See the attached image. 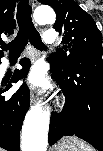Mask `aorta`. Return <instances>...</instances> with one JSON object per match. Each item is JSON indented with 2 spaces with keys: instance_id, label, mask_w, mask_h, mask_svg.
<instances>
[{
  "instance_id": "obj_1",
  "label": "aorta",
  "mask_w": 103,
  "mask_h": 151,
  "mask_svg": "<svg viewBox=\"0 0 103 151\" xmlns=\"http://www.w3.org/2000/svg\"><path fill=\"white\" fill-rule=\"evenodd\" d=\"M34 19L40 25L52 24L56 20L55 12L47 6L34 11ZM50 113L40 105L33 106L27 113L22 127V151H46Z\"/></svg>"
}]
</instances>
